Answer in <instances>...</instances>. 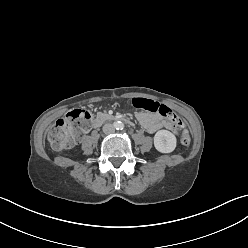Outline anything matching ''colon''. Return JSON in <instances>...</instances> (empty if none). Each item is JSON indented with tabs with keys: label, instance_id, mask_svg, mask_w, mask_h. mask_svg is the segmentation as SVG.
Segmentation results:
<instances>
[{
	"label": "colon",
	"instance_id": "obj_1",
	"mask_svg": "<svg viewBox=\"0 0 248 248\" xmlns=\"http://www.w3.org/2000/svg\"><path fill=\"white\" fill-rule=\"evenodd\" d=\"M132 104L138 109L159 113L181 128V142L184 145L190 143V134L184 128L182 120L175 115L166 105L145 98H133ZM91 114L86 109H74L62 118L58 119L48 132V140L54 149H65L80 140L84 131L88 128Z\"/></svg>",
	"mask_w": 248,
	"mask_h": 248
}]
</instances>
